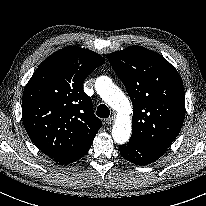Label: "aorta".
Listing matches in <instances>:
<instances>
[{"instance_id": "aorta-1", "label": "aorta", "mask_w": 206, "mask_h": 206, "mask_svg": "<svg viewBox=\"0 0 206 206\" xmlns=\"http://www.w3.org/2000/svg\"><path fill=\"white\" fill-rule=\"evenodd\" d=\"M95 88L102 100L117 111L116 121L112 127V137L116 143L124 144L129 140L132 130L131 104L128 98L107 76L97 78Z\"/></svg>"}]
</instances>
